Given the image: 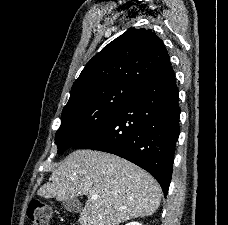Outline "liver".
<instances>
[{
    "instance_id": "liver-1",
    "label": "liver",
    "mask_w": 228,
    "mask_h": 225,
    "mask_svg": "<svg viewBox=\"0 0 228 225\" xmlns=\"http://www.w3.org/2000/svg\"><path fill=\"white\" fill-rule=\"evenodd\" d=\"M50 181L37 191L39 197L67 201L87 195L80 225H120L150 217L160 207L162 197L160 185L146 171L116 155L90 149L68 155Z\"/></svg>"
}]
</instances>
